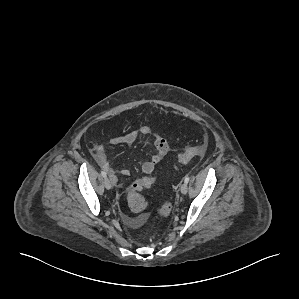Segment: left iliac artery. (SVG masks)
<instances>
[{
    "label": "left iliac artery",
    "mask_w": 299,
    "mask_h": 299,
    "mask_svg": "<svg viewBox=\"0 0 299 299\" xmlns=\"http://www.w3.org/2000/svg\"><path fill=\"white\" fill-rule=\"evenodd\" d=\"M189 176L187 175V176H185V179H184V182L187 184L188 182H189Z\"/></svg>",
    "instance_id": "left-iliac-artery-1"
}]
</instances>
